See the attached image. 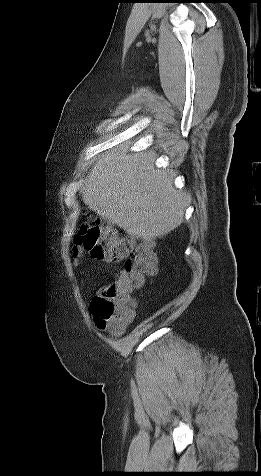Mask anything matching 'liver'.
Returning <instances> with one entry per match:
<instances>
[{"mask_svg":"<svg viewBox=\"0 0 261 476\" xmlns=\"http://www.w3.org/2000/svg\"><path fill=\"white\" fill-rule=\"evenodd\" d=\"M153 151L130 152L128 144L99 158L85 178L83 202L129 235L144 240L177 228L189 204L174 184L175 172L159 169Z\"/></svg>","mask_w":261,"mask_h":476,"instance_id":"obj_1","label":"liver"}]
</instances>
